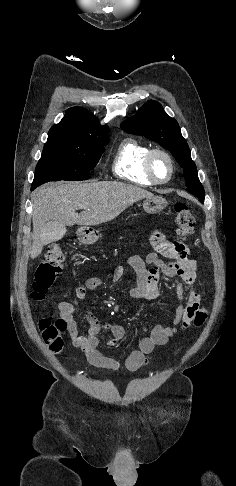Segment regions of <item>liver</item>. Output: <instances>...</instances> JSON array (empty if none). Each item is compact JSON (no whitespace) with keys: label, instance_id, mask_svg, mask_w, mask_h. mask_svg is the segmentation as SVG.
I'll return each instance as SVG.
<instances>
[{"label":"liver","instance_id":"obj_1","mask_svg":"<svg viewBox=\"0 0 236 486\" xmlns=\"http://www.w3.org/2000/svg\"><path fill=\"white\" fill-rule=\"evenodd\" d=\"M154 195L140 187L120 182L48 183L32 194L33 234L31 258L38 257L47 244L50 221L66 226H95L115 219L137 201ZM77 209H84L77 213Z\"/></svg>","mask_w":236,"mask_h":486}]
</instances>
